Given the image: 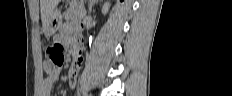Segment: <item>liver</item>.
<instances>
[{
    "label": "liver",
    "mask_w": 232,
    "mask_h": 96,
    "mask_svg": "<svg viewBox=\"0 0 232 96\" xmlns=\"http://www.w3.org/2000/svg\"><path fill=\"white\" fill-rule=\"evenodd\" d=\"M59 2L60 0H40L41 20L43 26L47 22L48 18L55 10Z\"/></svg>",
    "instance_id": "6515ba94"
}]
</instances>
